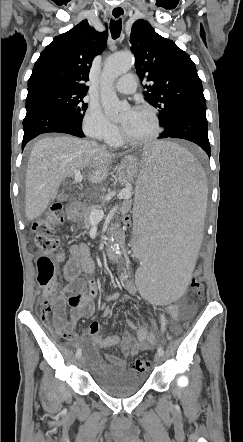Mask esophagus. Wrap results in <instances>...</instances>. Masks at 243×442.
I'll use <instances>...</instances> for the list:
<instances>
[{"label": "esophagus", "mask_w": 243, "mask_h": 442, "mask_svg": "<svg viewBox=\"0 0 243 442\" xmlns=\"http://www.w3.org/2000/svg\"><path fill=\"white\" fill-rule=\"evenodd\" d=\"M111 16L114 20L123 19L125 17V10L121 6H115L111 10Z\"/></svg>", "instance_id": "34e87169"}]
</instances>
